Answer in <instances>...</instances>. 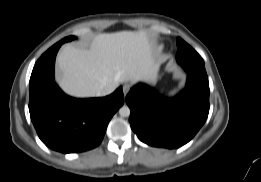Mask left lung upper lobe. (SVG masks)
Wrapping results in <instances>:
<instances>
[{"instance_id":"obj_1","label":"left lung upper lobe","mask_w":261,"mask_h":182,"mask_svg":"<svg viewBox=\"0 0 261 182\" xmlns=\"http://www.w3.org/2000/svg\"><path fill=\"white\" fill-rule=\"evenodd\" d=\"M178 51L176 54L177 61H203L201 56L180 37L177 38Z\"/></svg>"}]
</instances>
